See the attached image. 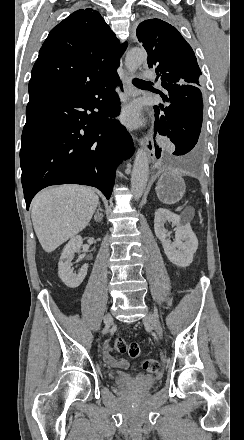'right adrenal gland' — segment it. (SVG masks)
I'll return each mask as SVG.
<instances>
[{
	"instance_id": "1",
	"label": "right adrenal gland",
	"mask_w": 244,
	"mask_h": 440,
	"mask_svg": "<svg viewBox=\"0 0 244 440\" xmlns=\"http://www.w3.org/2000/svg\"><path fill=\"white\" fill-rule=\"evenodd\" d=\"M99 212H103V210H102V208H101V204H100V202H99V204H98V210H96V214H95V216H97V214H99Z\"/></svg>"
}]
</instances>
